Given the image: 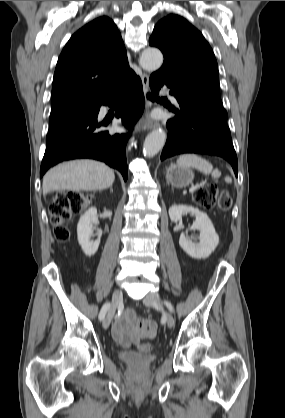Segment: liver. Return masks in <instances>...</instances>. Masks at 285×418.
Returning <instances> with one entry per match:
<instances>
[{
  "label": "liver",
  "mask_w": 285,
  "mask_h": 418,
  "mask_svg": "<svg viewBox=\"0 0 285 418\" xmlns=\"http://www.w3.org/2000/svg\"><path fill=\"white\" fill-rule=\"evenodd\" d=\"M114 171L94 160H75L57 165L43 177V194L53 191H98L109 188Z\"/></svg>",
  "instance_id": "1"
}]
</instances>
